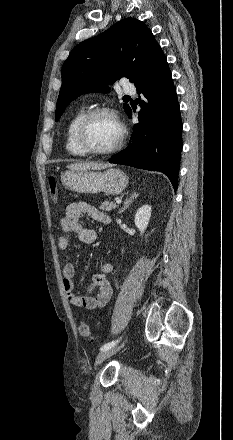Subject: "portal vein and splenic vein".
I'll return each instance as SVG.
<instances>
[{"label": "portal vein and splenic vein", "mask_w": 233, "mask_h": 440, "mask_svg": "<svg viewBox=\"0 0 233 440\" xmlns=\"http://www.w3.org/2000/svg\"><path fill=\"white\" fill-rule=\"evenodd\" d=\"M122 201L121 200H117L116 201V204H120Z\"/></svg>", "instance_id": "1"}]
</instances>
